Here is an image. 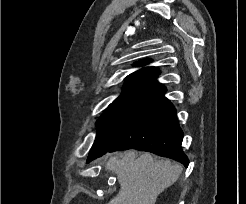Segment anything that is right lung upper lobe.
<instances>
[{
    "label": "right lung upper lobe",
    "mask_w": 246,
    "mask_h": 204,
    "mask_svg": "<svg viewBox=\"0 0 246 204\" xmlns=\"http://www.w3.org/2000/svg\"><path fill=\"white\" fill-rule=\"evenodd\" d=\"M150 60H142L136 63L142 66L149 63ZM160 71L155 67H144L130 74L124 83L125 91L115 101H137L148 94L161 88L156 78Z\"/></svg>",
    "instance_id": "1"
}]
</instances>
